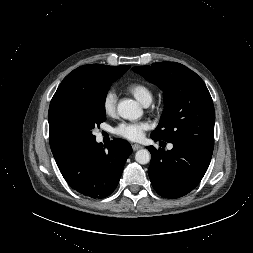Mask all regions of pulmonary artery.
Returning <instances> with one entry per match:
<instances>
[{
  "label": "pulmonary artery",
  "mask_w": 253,
  "mask_h": 253,
  "mask_svg": "<svg viewBox=\"0 0 253 253\" xmlns=\"http://www.w3.org/2000/svg\"><path fill=\"white\" fill-rule=\"evenodd\" d=\"M168 148H169V149H172V148H173V145L170 144V145L168 146Z\"/></svg>",
  "instance_id": "pulmonary-artery-1"
}]
</instances>
